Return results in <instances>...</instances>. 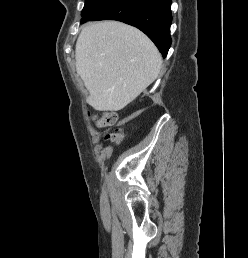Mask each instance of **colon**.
<instances>
[{"mask_svg": "<svg viewBox=\"0 0 248 258\" xmlns=\"http://www.w3.org/2000/svg\"><path fill=\"white\" fill-rule=\"evenodd\" d=\"M117 120V115L114 112H106L100 117L94 116L95 123L100 127L113 125ZM123 138L122 131H116L106 136V139L113 142L119 143Z\"/></svg>", "mask_w": 248, "mask_h": 258, "instance_id": "colon-1", "label": "colon"}]
</instances>
